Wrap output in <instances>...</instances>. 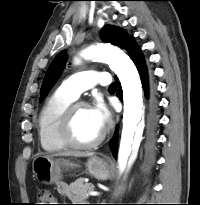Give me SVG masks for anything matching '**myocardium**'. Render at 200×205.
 I'll return each mask as SVG.
<instances>
[{"instance_id":"myocardium-1","label":"myocardium","mask_w":200,"mask_h":205,"mask_svg":"<svg viewBox=\"0 0 200 205\" xmlns=\"http://www.w3.org/2000/svg\"><path fill=\"white\" fill-rule=\"evenodd\" d=\"M87 107L88 105L82 102L71 103L64 111L60 124H59V136L63 143L70 148L74 149H90L98 146L105 138V131L102 130L100 135L90 142H79L73 135V121L75 113L78 108Z\"/></svg>"}]
</instances>
